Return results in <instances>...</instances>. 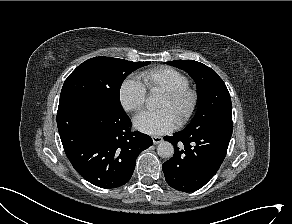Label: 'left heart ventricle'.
Returning a JSON list of instances; mask_svg holds the SVG:
<instances>
[{
  "label": "left heart ventricle",
  "instance_id": "1",
  "mask_svg": "<svg viewBox=\"0 0 292 224\" xmlns=\"http://www.w3.org/2000/svg\"><path fill=\"white\" fill-rule=\"evenodd\" d=\"M186 104L187 100H182L178 103H172L166 96L162 95L158 104V108L168 109L177 120L181 111L185 108Z\"/></svg>",
  "mask_w": 292,
  "mask_h": 224
}]
</instances>
